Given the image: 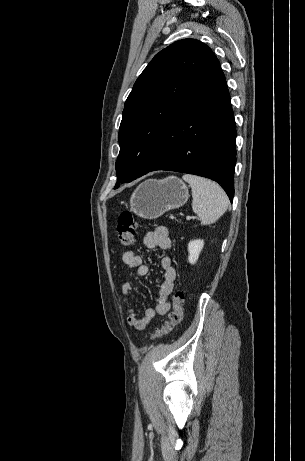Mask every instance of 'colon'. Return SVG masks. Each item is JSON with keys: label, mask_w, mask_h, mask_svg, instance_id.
<instances>
[{"label": "colon", "mask_w": 305, "mask_h": 461, "mask_svg": "<svg viewBox=\"0 0 305 461\" xmlns=\"http://www.w3.org/2000/svg\"><path fill=\"white\" fill-rule=\"evenodd\" d=\"M136 227L137 222L130 211H123L119 214L117 233L119 242L123 248L130 247L133 244ZM183 302V292L176 291L172 296L173 308L169 314L168 320L151 335V339L169 334L177 325L183 322Z\"/></svg>", "instance_id": "5ec220e1"}]
</instances>
